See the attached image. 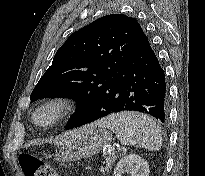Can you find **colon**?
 Segmentation results:
<instances>
[{
  "label": "colon",
  "mask_w": 205,
  "mask_h": 176,
  "mask_svg": "<svg viewBox=\"0 0 205 176\" xmlns=\"http://www.w3.org/2000/svg\"><path fill=\"white\" fill-rule=\"evenodd\" d=\"M24 176H56L49 165L29 153H22L18 158Z\"/></svg>",
  "instance_id": "obj_1"
}]
</instances>
